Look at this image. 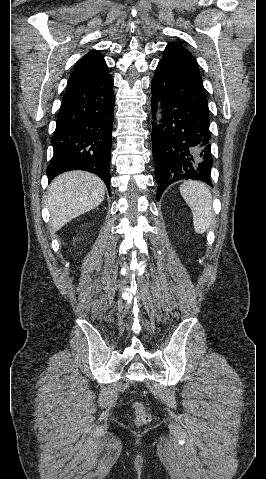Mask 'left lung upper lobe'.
Wrapping results in <instances>:
<instances>
[{
    "label": "left lung upper lobe",
    "instance_id": "obj_1",
    "mask_svg": "<svg viewBox=\"0 0 266 479\" xmlns=\"http://www.w3.org/2000/svg\"><path fill=\"white\" fill-rule=\"evenodd\" d=\"M160 62L193 80L203 83L195 58L181 43H169Z\"/></svg>",
    "mask_w": 266,
    "mask_h": 479
}]
</instances>
